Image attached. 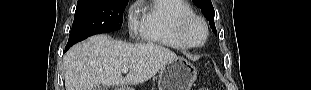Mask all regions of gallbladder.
<instances>
[{"label": "gallbladder", "mask_w": 311, "mask_h": 90, "mask_svg": "<svg viewBox=\"0 0 311 90\" xmlns=\"http://www.w3.org/2000/svg\"><path fill=\"white\" fill-rule=\"evenodd\" d=\"M96 90H107V86L100 84L96 87Z\"/></svg>", "instance_id": "bac80fb5"}]
</instances>
